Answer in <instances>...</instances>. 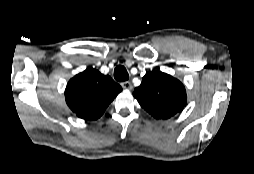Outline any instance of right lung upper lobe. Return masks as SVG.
<instances>
[{"mask_svg": "<svg viewBox=\"0 0 254 174\" xmlns=\"http://www.w3.org/2000/svg\"><path fill=\"white\" fill-rule=\"evenodd\" d=\"M122 91L119 84L96 69H87L68 82L65 99L69 108L85 120H96Z\"/></svg>", "mask_w": 254, "mask_h": 174, "instance_id": "cb5924a9", "label": "right lung upper lobe"}]
</instances>
